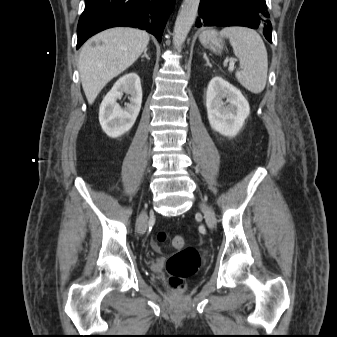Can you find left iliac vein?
I'll use <instances>...</instances> for the list:
<instances>
[{
  "instance_id": "obj_1",
  "label": "left iliac vein",
  "mask_w": 337,
  "mask_h": 337,
  "mask_svg": "<svg viewBox=\"0 0 337 337\" xmlns=\"http://www.w3.org/2000/svg\"><path fill=\"white\" fill-rule=\"evenodd\" d=\"M201 210L203 211L205 215V220L210 229H213L216 224V218L213 210L211 209L210 206H208L206 203H202L200 205Z\"/></svg>"
}]
</instances>
